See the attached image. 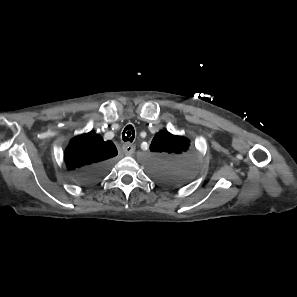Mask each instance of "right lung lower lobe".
Wrapping results in <instances>:
<instances>
[{
    "mask_svg": "<svg viewBox=\"0 0 297 297\" xmlns=\"http://www.w3.org/2000/svg\"><path fill=\"white\" fill-rule=\"evenodd\" d=\"M109 162L99 163L74 174V180L80 185H88L101 179L109 169Z\"/></svg>",
    "mask_w": 297,
    "mask_h": 297,
    "instance_id": "1",
    "label": "right lung lower lobe"
}]
</instances>
